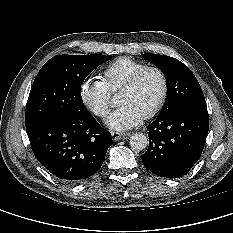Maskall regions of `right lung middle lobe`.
Instances as JSON below:
<instances>
[{"instance_id": "1", "label": "right lung middle lobe", "mask_w": 233, "mask_h": 233, "mask_svg": "<svg viewBox=\"0 0 233 233\" xmlns=\"http://www.w3.org/2000/svg\"><path fill=\"white\" fill-rule=\"evenodd\" d=\"M111 55H57L38 72L26 111V128L43 121L66 118L86 111L81 97L85 78Z\"/></svg>"}]
</instances>
